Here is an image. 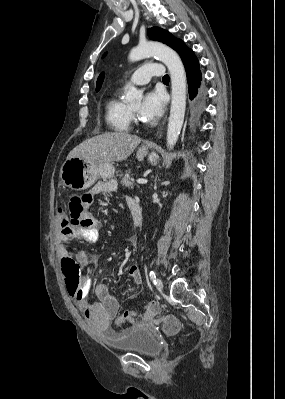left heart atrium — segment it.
<instances>
[{
  "label": "left heart atrium",
  "mask_w": 285,
  "mask_h": 399,
  "mask_svg": "<svg viewBox=\"0 0 285 399\" xmlns=\"http://www.w3.org/2000/svg\"><path fill=\"white\" fill-rule=\"evenodd\" d=\"M165 97L158 90L147 92L139 109L140 116L147 121L158 119L165 109Z\"/></svg>",
  "instance_id": "obj_1"
}]
</instances>
